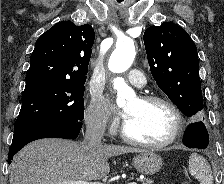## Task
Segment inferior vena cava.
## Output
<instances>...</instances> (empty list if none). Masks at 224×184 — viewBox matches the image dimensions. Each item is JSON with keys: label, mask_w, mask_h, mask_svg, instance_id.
<instances>
[{"label": "inferior vena cava", "mask_w": 224, "mask_h": 184, "mask_svg": "<svg viewBox=\"0 0 224 184\" xmlns=\"http://www.w3.org/2000/svg\"><path fill=\"white\" fill-rule=\"evenodd\" d=\"M106 121L103 118H96L87 123L86 132L82 145L90 150L101 145L105 133Z\"/></svg>", "instance_id": "obj_1"}]
</instances>
